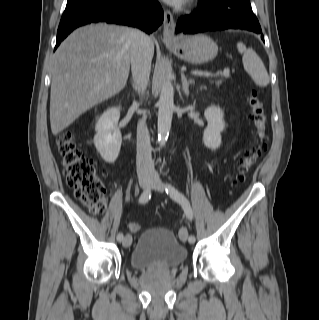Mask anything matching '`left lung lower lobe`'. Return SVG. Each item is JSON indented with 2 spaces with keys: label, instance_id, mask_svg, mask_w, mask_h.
Returning a JSON list of instances; mask_svg holds the SVG:
<instances>
[{
  "label": "left lung lower lobe",
  "instance_id": "0a47b994",
  "mask_svg": "<svg viewBox=\"0 0 319 320\" xmlns=\"http://www.w3.org/2000/svg\"><path fill=\"white\" fill-rule=\"evenodd\" d=\"M229 28L261 33L250 0H200L199 8L181 17L176 25L177 32L185 34ZM261 38L264 40L263 35Z\"/></svg>",
  "mask_w": 319,
  "mask_h": 320
}]
</instances>
